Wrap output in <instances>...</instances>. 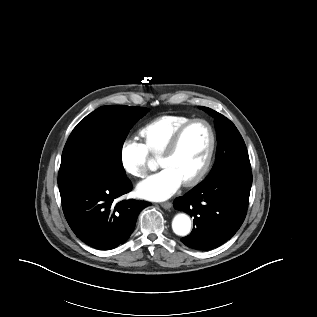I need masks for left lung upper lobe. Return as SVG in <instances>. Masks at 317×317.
<instances>
[{
  "label": "left lung upper lobe",
  "mask_w": 317,
  "mask_h": 317,
  "mask_svg": "<svg viewBox=\"0 0 317 317\" xmlns=\"http://www.w3.org/2000/svg\"><path fill=\"white\" fill-rule=\"evenodd\" d=\"M200 108L214 117L218 140L215 164L205 180L218 179L234 170L251 171L246 145L235 125L210 108Z\"/></svg>",
  "instance_id": "obj_1"
}]
</instances>
